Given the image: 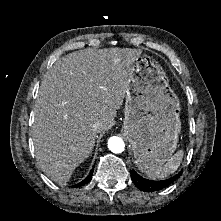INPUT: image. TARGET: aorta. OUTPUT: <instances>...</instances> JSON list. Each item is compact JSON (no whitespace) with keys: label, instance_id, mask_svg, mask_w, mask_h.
<instances>
[{"label":"aorta","instance_id":"762f6f07","mask_svg":"<svg viewBox=\"0 0 221 221\" xmlns=\"http://www.w3.org/2000/svg\"><path fill=\"white\" fill-rule=\"evenodd\" d=\"M108 148L113 153H121L124 151V141L117 136L110 137L108 140Z\"/></svg>","mask_w":221,"mask_h":221}]
</instances>
